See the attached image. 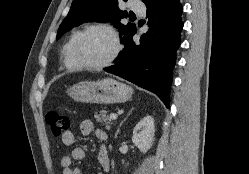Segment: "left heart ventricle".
<instances>
[{
  "label": "left heart ventricle",
  "mask_w": 249,
  "mask_h": 174,
  "mask_svg": "<svg viewBox=\"0 0 249 174\" xmlns=\"http://www.w3.org/2000/svg\"><path fill=\"white\" fill-rule=\"evenodd\" d=\"M113 51L111 36L103 30H93L80 42L78 54L88 64L105 61Z\"/></svg>",
  "instance_id": "obj_1"
}]
</instances>
